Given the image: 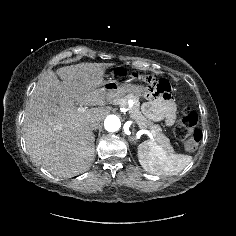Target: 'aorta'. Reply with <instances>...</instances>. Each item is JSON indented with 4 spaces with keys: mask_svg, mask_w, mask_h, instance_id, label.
Instances as JSON below:
<instances>
[{
    "mask_svg": "<svg viewBox=\"0 0 236 236\" xmlns=\"http://www.w3.org/2000/svg\"><path fill=\"white\" fill-rule=\"evenodd\" d=\"M104 127L108 132H116L121 127V122L118 116L109 115L104 121Z\"/></svg>",
    "mask_w": 236,
    "mask_h": 236,
    "instance_id": "aorta-1",
    "label": "aorta"
}]
</instances>
